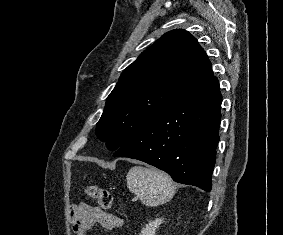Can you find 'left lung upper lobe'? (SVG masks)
I'll return each instance as SVG.
<instances>
[{
  "label": "left lung upper lobe",
  "mask_w": 283,
  "mask_h": 235,
  "mask_svg": "<svg viewBox=\"0 0 283 235\" xmlns=\"http://www.w3.org/2000/svg\"><path fill=\"white\" fill-rule=\"evenodd\" d=\"M212 77L197 40L185 30L167 32L123 71L107 97L96 135L117 150Z\"/></svg>",
  "instance_id": "left-lung-upper-lobe-1"
}]
</instances>
